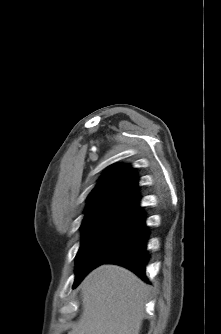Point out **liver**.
<instances>
[{
  "label": "liver",
  "mask_w": 221,
  "mask_h": 334,
  "mask_svg": "<svg viewBox=\"0 0 221 334\" xmlns=\"http://www.w3.org/2000/svg\"><path fill=\"white\" fill-rule=\"evenodd\" d=\"M83 312L69 334H139L149 286L117 265L94 269L81 283Z\"/></svg>",
  "instance_id": "1"
}]
</instances>
